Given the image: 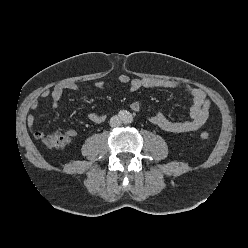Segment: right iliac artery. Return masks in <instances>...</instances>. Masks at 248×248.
I'll use <instances>...</instances> for the list:
<instances>
[{
	"instance_id": "1",
	"label": "right iliac artery",
	"mask_w": 248,
	"mask_h": 248,
	"mask_svg": "<svg viewBox=\"0 0 248 248\" xmlns=\"http://www.w3.org/2000/svg\"><path fill=\"white\" fill-rule=\"evenodd\" d=\"M118 115H119L120 118L123 119V118H125L127 116V112L123 110V111H120Z\"/></svg>"
}]
</instances>
